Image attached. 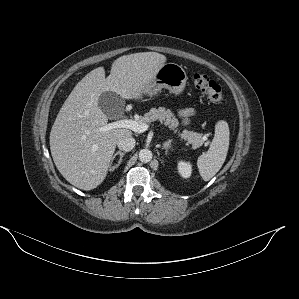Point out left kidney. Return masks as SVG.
<instances>
[{"mask_svg":"<svg viewBox=\"0 0 299 299\" xmlns=\"http://www.w3.org/2000/svg\"><path fill=\"white\" fill-rule=\"evenodd\" d=\"M178 172L183 178H189L192 173V166L189 162L179 161Z\"/></svg>","mask_w":299,"mask_h":299,"instance_id":"5707ae66","label":"left kidney"}]
</instances>
